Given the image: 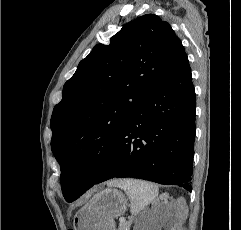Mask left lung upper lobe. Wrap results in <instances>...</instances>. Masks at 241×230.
Wrapping results in <instances>:
<instances>
[{"label": "left lung upper lobe", "instance_id": "1", "mask_svg": "<svg viewBox=\"0 0 241 230\" xmlns=\"http://www.w3.org/2000/svg\"><path fill=\"white\" fill-rule=\"evenodd\" d=\"M184 54L169 23L148 14L123 26L109 45L97 44L79 63L50 122L51 148L68 202L78 198L77 161L100 142L114 141L147 93Z\"/></svg>", "mask_w": 241, "mask_h": 230}]
</instances>
